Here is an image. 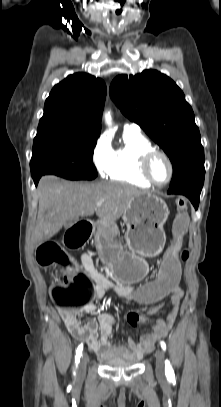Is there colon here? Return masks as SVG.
<instances>
[{
  "label": "colon",
  "mask_w": 221,
  "mask_h": 407,
  "mask_svg": "<svg viewBox=\"0 0 221 407\" xmlns=\"http://www.w3.org/2000/svg\"><path fill=\"white\" fill-rule=\"evenodd\" d=\"M176 207L178 213L173 222V241L159 262L157 277H149L147 283L135 284L134 298L139 306H156L158 301L166 299V292H176V286L181 285L182 260L188 257L187 251H181L188 226L184 212L187 207L186 199L178 198ZM93 229L91 216H80L79 220L67 226L64 249H80L85 246L86 239L93 238ZM64 249L56 242H46L38 248L36 257L41 266L57 264L66 268L65 282L54 284L50 289V296L61 312L73 315L87 306L94 285L87 276L70 267Z\"/></svg>",
  "instance_id": "5ec220e1"
}]
</instances>
